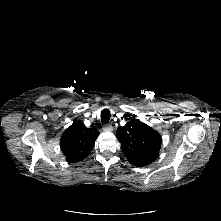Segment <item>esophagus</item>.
<instances>
[{"label": "esophagus", "mask_w": 221, "mask_h": 221, "mask_svg": "<svg viewBox=\"0 0 221 221\" xmlns=\"http://www.w3.org/2000/svg\"><path fill=\"white\" fill-rule=\"evenodd\" d=\"M103 129L105 131H111L112 130V125L111 124H104Z\"/></svg>", "instance_id": "obj_1"}]
</instances>
